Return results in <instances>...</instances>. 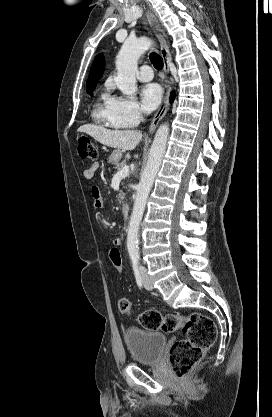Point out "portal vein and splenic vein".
<instances>
[{
    "mask_svg": "<svg viewBox=\"0 0 272 417\" xmlns=\"http://www.w3.org/2000/svg\"><path fill=\"white\" fill-rule=\"evenodd\" d=\"M117 174L120 176H127L129 174V166H124Z\"/></svg>",
    "mask_w": 272,
    "mask_h": 417,
    "instance_id": "18ae733b",
    "label": "portal vein and splenic vein"
}]
</instances>
